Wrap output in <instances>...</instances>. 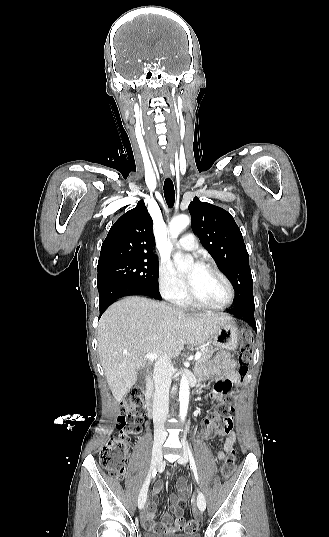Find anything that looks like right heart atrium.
<instances>
[{
	"instance_id": "d8ad5b80",
	"label": "right heart atrium",
	"mask_w": 329,
	"mask_h": 537,
	"mask_svg": "<svg viewBox=\"0 0 329 537\" xmlns=\"http://www.w3.org/2000/svg\"><path fill=\"white\" fill-rule=\"evenodd\" d=\"M158 286L163 297L172 302H180L187 296L184 280L167 261H162L160 264Z\"/></svg>"
}]
</instances>
